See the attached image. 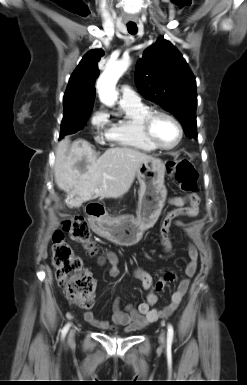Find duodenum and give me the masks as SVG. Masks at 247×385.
<instances>
[{
	"instance_id": "obj_1",
	"label": "duodenum",
	"mask_w": 247,
	"mask_h": 385,
	"mask_svg": "<svg viewBox=\"0 0 247 385\" xmlns=\"http://www.w3.org/2000/svg\"><path fill=\"white\" fill-rule=\"evenodd\" d=\"M88 214L92 217V228L98 233H102L100 228L106 222L104 219L105 210L99 203H91L87 210Z\"/></svg>"
}]
</instances>
